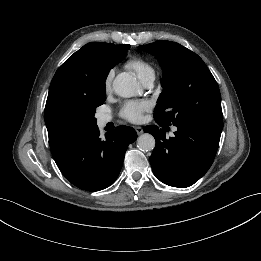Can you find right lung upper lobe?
<instances>
[{
	"instance_id": "1",
	"label": "right lung upper lobe",
	"mask_w": 261,
	"mask_h": 261,
	"mask_svg": "<svg viewBox=\"0 0 261 261\" xmlns=\"http://www.w3.org/2000/svg\"><path fill=\"white\" fill-rule=\"evenodd\" d=\"M128 46L130 45L88 43L70 56L55 73L44 112L49 144L55 160L79 140L69 144L61 143L56 131V120L60 110L94 97L101 85L102 67L118 61L128 50Z\"/></svg>"
}]
</instances>
